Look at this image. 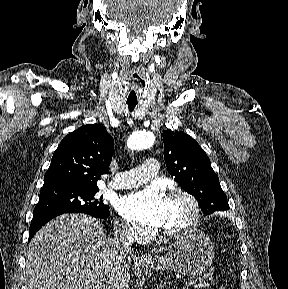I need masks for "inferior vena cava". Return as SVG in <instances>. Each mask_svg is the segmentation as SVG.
<instances>
[{"mask_svg": "<svg viewBox=\"0 0 288 289\" xmlns=\"http://www.w3.org/2000/svg\"><path fill=\"white\" fill-rule=\"evenodd\" d=\"M135 238L136 230L129 224L117 225L115 227L114 238L110 240L111 254L114 265L118 264L120 266V264H122L126 260ZM119 269L113 268L111 273L106 270L103 274V277L97 281L95 289L118 288L116 285V281L121 275Z\"/></svg>", "mask_w": 288, "mask_h": 289, "instance_id": "1", "label": "inferior vena cava"}]
</instances>
